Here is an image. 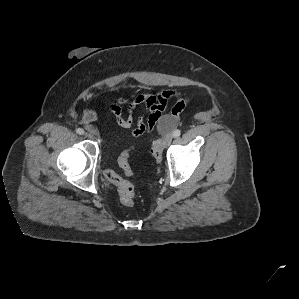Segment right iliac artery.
Listing matches in <instances>:
<instances>
[{
    "instance_id": "obj_1",
    "label": "right iliac artery",
    "mask_w": 299,
    "mask_h": 299,
    "mask_svg": "<svg viewBox=\"0 0 299 299\" xmlns=\"http://www.w3.org/2000/svg\"><path fill=\"white\" fill-rule=\"evenodd\" d=\"M76 133L79 134V135H83L85 132L82 128H77Z\"/></svg>"
}]
</instances>
